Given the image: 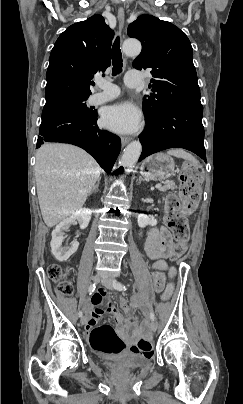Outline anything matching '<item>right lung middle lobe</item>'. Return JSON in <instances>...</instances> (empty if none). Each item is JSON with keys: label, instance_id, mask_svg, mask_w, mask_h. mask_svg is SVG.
Segmentation results:
<instances>
[{"label": "right lung middle lobe", "instance_id": "dd1d6c3e", "mask_svg": "<svg viewBox=\"0 0 243 404\" xmlns=\"http://www.w3.org/2000/svg\"><path fill=\"white\" fill-rule=\"evenodd\" d=\"M87 99L88 97H74L46 103L42 111V121L70 111L81 112L88 116H94L96 110H93L91 107H87L85 103Z\"/></svg>", "mask_w": 243, "mask_h": 404}]
</instances>
